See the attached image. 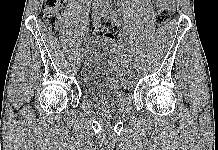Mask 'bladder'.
Segmentation results:
<instances>
[{"instance_id": "obj_1", "label": "bladder", "mask_w": 218, "mask_h": 150, "mask_svg": "<svg viewBox=\"0 0 218 150\" xmlns=\"http://www.w3.org/2000/svg\"><path fill=\"white\" fill-rule=\"evenodd\" d=\"M111 45L102 40L92 41L79 73L82 93L101 106L122 108L130 97L129 87Z\"/></svg>"}]
</instances>
